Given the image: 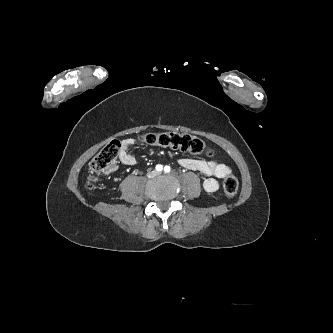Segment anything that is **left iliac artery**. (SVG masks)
<instances>
[{
  "instance_id": "1",
  "label": "left iliac artery",
  "mask_w": 333,
  "mask_h": 333,
  "mask_svg": "<svg viewBox=\"0 0 333 333\" xmlns=\"http://www.w3.org/2000/svg\"><path fill=\"white\" fill-rule=\"evenodd\" d=\"M170 170H171L170 166H165V167H164V171H165V173H169Z\"/></svg>"
}]
</instances>
